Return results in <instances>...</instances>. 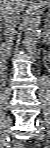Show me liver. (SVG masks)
I'll list each match as a JSON object with an SVG mask.
<instances>
[{"label": "liver", "instance_id": "liver-1", "mask_svg": "<svg viewBox=\"0 0 50 148\" xmlns=\"http://www.w3.org/2000/svg\"><path fill=\"white\" fill-rule=\"evenodd\" d=\"M11 0H1L0 1V11H2V8ZM28 1L27 0H18V4L20 7H23Z\"/></svg>", "mask_w": 50, "mask_h": 148}]
</instances>
